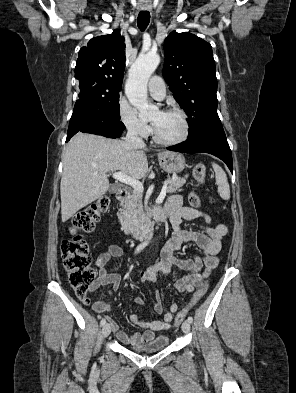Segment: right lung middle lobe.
<instances>
[{
  "mask_svg": "<svg viewBox=\"0 0 296 393\" xmlns=\"http://www.w3.org/2000/svg\"><path fill=\"white\" fill-rule=\"evenodd\" d=\"M79 101L93 105L119 120V92L92 80L79 82Z\"/></svg>",
  "mask_w": 296,
  "mask_h": 393,
  "instance_id": "obj_1",
  "label": "right lung middle lobe"
}]
</instances>
